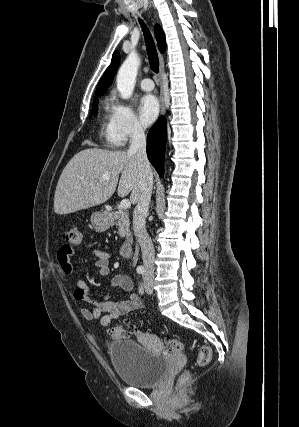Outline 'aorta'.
I'll use <instances>...</instances> for the list:
<instances>
[{
  "label": "aorta",
  "mask_w": 299,
  "mask_h": 427,
  "mask_svg": "<svg viewBox=\"0 0 299 427\" xmlns=\"http://www.w3.org/2000/svg\"><path fill=\"white\" fill-rule=\"evenodd\" d=\"M139 66L140 59L136 53L132 52L125 59L118 71L116 79L117 90L123 99L130 98L133 93Z\"/></svg>",
  "instance_id": "762f6f07"
}]
</instances>
